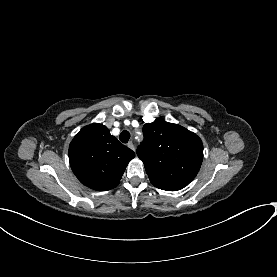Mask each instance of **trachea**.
Segmentation results:
<instances>
[{
    "label": "trachea",
    "mask_w": 277,
    "mask_h": 277,
    "mask_svg": "<svg viewBox=\"0 0 277 277\" xmlns=\"http://www.w3.org/2000/svg\"><path fill=\"white\" fill-rule=\"evenodd\" d=\"M119 139L122 143H127L130 139V133L126 130L122 131L119 135Z\"/></svg>",
    "instance_id": "1"
}]
</instances>
